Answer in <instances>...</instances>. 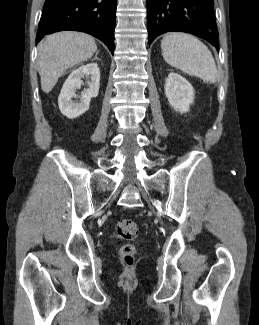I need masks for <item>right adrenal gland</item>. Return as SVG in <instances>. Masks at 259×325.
<instances>
[{
	"instance_id": "obj_1",
	"label": "right adrenal gland",
	"mask_w": 259,
	"mask_h": 325,
	"mask_svg": "<svg viewBox=\"0 0 259 325\" xmlns=\"http://www.w3.org/2000/svg\"><path fill=\"white\" fill-rule=\"evenodd\" d=\"M97 54H98V52H97ZM97 54L95 55L94 60H99L98 57H97Z\"/></svg>"
}]
</instances>
